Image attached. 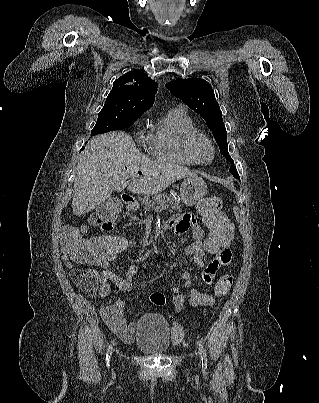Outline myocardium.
Masks as SVG:
<instances>
[{
	"instance_id": "f54148a6",
	"label": "myocardium",
	"mask_w": 319,
	"mask_h": 403,
	"mask_svg": "<svg viewBox=\"0 0 319 403\" xmlns=\"http://www.w3.org/2000/svg\"><path fill=\"white\" fill-rule=\"evenodd\" d=\"M200 141H204L206 142L212 151V155H211V159L209 161H202L197 153V144ZM184 146H185V150L187 151V153L198 163V164H206L209 163L211 161H213V159L215 158V154H216V149H215V145L213 143V141L203 132H200L198 130L193 131L191 133H189L186 138H185V142H184Z\"/></svg>"
}]
</instances>
